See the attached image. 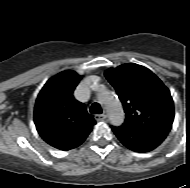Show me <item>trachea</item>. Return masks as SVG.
Here are the masks:
<instances>
[{
  "label": "trachea",
  "instance_id": "3493384b",
  "mask_svg": "<svg viewBox=\"0 0 190 188\" xmlns=\"http://www.w3.org/2000/svg\"><path fill=\"white\" fill-rule=\"evenodd\" d=\"M90 112L93 114H101L102 108L99 103H93L90 107Z\"/></svg>",
  "mask_w": 190,
  "mask_h": 188
}]
</instances>
